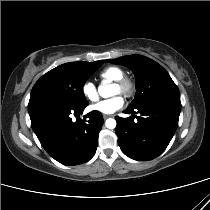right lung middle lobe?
Returning <instances> with one entry per match:
<instances>
[{
  "instance_id": "dd1d6c3e",
  "label": "right lung middle lobe",
  "mask_w": 210,
  "mask_h": 210,
  "mask_svg": "<svg viewBox=\"0 0 210 210\" xmlns=\"http://www.w3.org/2000/svg\"><path fill=\"white\" fill-rule=\"evenodd\" d=\"M96 62H71L60 65L44 74L34 85L28 111L49 104L84 106L88 102L83 94L86 79L102 64Z\"/></svg>"
}]
</instances>
